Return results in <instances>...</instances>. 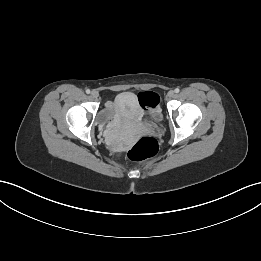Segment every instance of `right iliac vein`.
I'll list each match as a JSON object with an SVG mask.
<instances>
[{
  "instance_id": "1",
  "label": "right iliac vein",
  "mask_w": 261,
  "mask_h": 261,
  "mask_svg": "<svg viewBox=\"0 0 261 261\" xmlns=\"http://www.w3.org/2000/svg\"><path fill=\"white\" fill-rule=\"evenodd\" d=\"M91 96H92L93 98H97V97L99 96V93H98L97 91L93 90V91L91 92Z\"/></svg>"
}]
</instances>
